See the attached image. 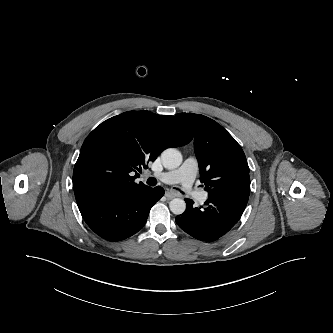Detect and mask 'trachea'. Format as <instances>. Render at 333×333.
<instances>
[{"instance_id": "1", "label": "trachea", "mask_w": 333, "mask_h": 333, "mask_svg": "<svg viewBox=\"0 0 333 333\" xmlns=\"http://www.w3.org/2000/svg\"><path fill=\"white\" fill-rule=\"evenodd\" d=\"M147 184L150 186H155L157 184V180L153 177H150L147 179ZM177 190H179V189H177Z\"/></svg>"}]
</instances>
